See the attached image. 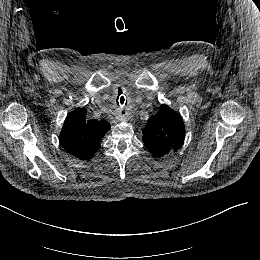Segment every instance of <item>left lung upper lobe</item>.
Segmentation results:
<instances>
[{"label": "left lung upper lobe", "instance_id": "left-lung-upper-lobe-1", "mask_svg": "<svg viewBox=\"0 0 260 260\" xmlns=\"http://www.w3.org/2000/svg\"><path fill=\"white\" fill-rule=\"evenodd\" d=\"M142 133L146 148L153 156L162 158L176 152L183 144V119L179 113L163 104L157 114L148 120Z\"/></svg>", "mask_w": 260, "mask_h": 260}]
</instances>
